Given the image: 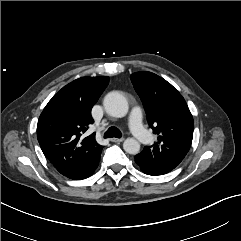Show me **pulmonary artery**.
I'll return each instance as SVG.
<instances>
[{
	"label": "pulmonary artery",
	"mask_w": 241,
	"mask_h": 241,
	"mask_svg": "<svg viewBox=\"0 0 241 241\" xmlns=\"http://www.w3.org/2000/svg\"><path fill=\"white\" fill-rule=\"evenodd\" d=\"M141 111L134 108L129 117V126L135 139L142 144H148L151 140L150 133L143 127L141 122Z\"/></svg>",
	"instance_id": "e3ab8cb5"
}]
</instances>
